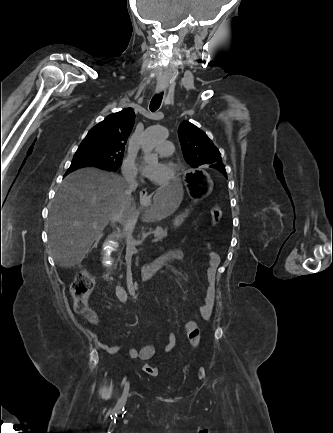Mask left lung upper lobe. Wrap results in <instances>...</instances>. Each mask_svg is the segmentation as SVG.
Here are the masks:
<instances>
[{
    "label": "left lung upper lobe",
    "instance_id": "5c2ea615",
    "mask_svg": "<svg viewBox=\"0 0 333 433\" xmlns=\"http://www.w3.org/2000/svg\"><path fill=\"white\" fill-rule=\"evenodd\" d=\"M179 140L185 160L193 168L200 165H218L225 176V167L221 161L219 150L208 136L195 125L183 121L178 129Z\"/></svg>",
    "mask_w": 333,
    "mask_h": 433
}]
</instances>
